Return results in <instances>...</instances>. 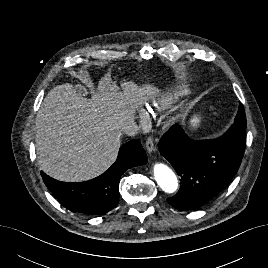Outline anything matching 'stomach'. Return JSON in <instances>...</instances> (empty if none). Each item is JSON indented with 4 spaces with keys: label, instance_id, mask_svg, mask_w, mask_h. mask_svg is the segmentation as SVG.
Masks as SVG:
<instances>
[{
    "label": "stomach",
    "instance_id": "obj_1",
    "mask_svg": "<svg viewBox=\"0 0 268 268\" xmlns=\"http://www.w3.org/2000/svg\"><path fill=\"white\" fill-rule=\"evenodd\" d=\"M199 122H200L199 116L195 115V116L191 117V119H190V125L192 127H197L199 125Z\"/></svg>",
    "mask_w": 268,
    "mask_h": 268
}]
</instances>
